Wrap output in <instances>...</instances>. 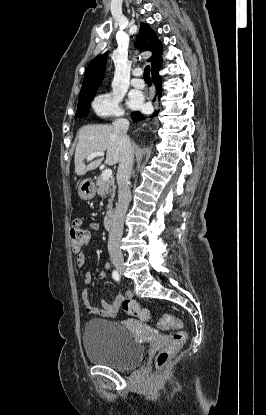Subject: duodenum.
Wrapping results in <instances>:
<instances>
[{"label": "duodenum", "mask_w": 266, "mask_h": 415, "mask_svg": "<svg viewBox=\"0 0 266 415\" xmlns=\"http://www.w3.org/2000/svg\"><path fill=\"white\" fill-rule=\"evenodd\" d=\"M113 223H114V214L112 212H109L106 214L104 218V227L107 230H111L113 227Z\"/></svg>", "instance_id": "1"}]
</instances>
